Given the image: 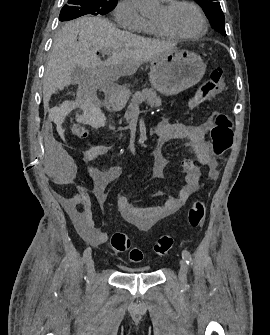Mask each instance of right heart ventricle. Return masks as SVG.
Returning <instances> with one entry per match:
<instances>
[{
  "instance_id": "right-heart-ventricle-1",
  "label": "right heart ventricle",
  "mask_w": 270,
  "mask_h": 335,
  "mask_svg": "<svg viewBox=\"0 0 270 335\" xmlns=\"http://www.w3.org/2000/svg\"><path fill=\"white\" fill-rule=\"evenodd\" d=\"M142 31L154 37H166L160 33V31L154 26L153 22L150 20L144 19ZM162 78H168V77H162Z\"/></svg>"
}]
</instances>
